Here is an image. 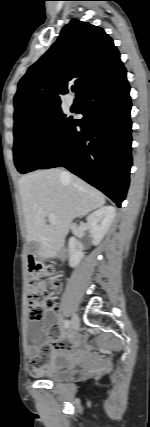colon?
Wrapping results in <instances>:
<instances>
[{
  "label": "colon",
  "mask_w": 150,
  "mask_h": 427,
  "mask_svg": "<svg viewBox=\"0 0 150 427\" xmlns=\"http://www.w3.org/2000/svg\"><path fill=\"white\" fill-rule=\"evenodd\" d=\"M30 280L28 285L29 318L33 321L42 320L46 311H53L55 303L51 293L58 286L54 279L53 269L44 267L29 255Z\"/></svg>",
  "instance_id": "colon-1"
}]
</instances>
